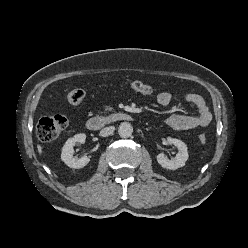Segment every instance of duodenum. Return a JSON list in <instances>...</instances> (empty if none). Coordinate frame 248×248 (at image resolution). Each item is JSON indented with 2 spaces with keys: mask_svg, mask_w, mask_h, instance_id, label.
Here are the masks:
<instances>
[{
  "mask_svg": "<svg viewBox=\"0 0 248 248\" xmlns=\"http://www.w3.org/2000/svg\"><path fill=\"white\" fill-rule=\"evenodd\" d=\"M131 119L132 117L130 114L123 111H116L106 115L91 117L88 119L86 126L89 130L95 131L105 126L119 122L130 121Z\"/></svg>",
  "mask_w": 248,
  "mask_h": 248,
  "instance_id": "410a0bca",
  "label": "duodenum"
}]
</instances>
